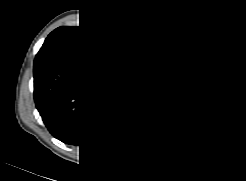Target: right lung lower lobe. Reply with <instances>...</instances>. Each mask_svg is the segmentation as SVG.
I'll use <instances>...</instances> for the list:
<instances>
[{"label": "right lung lower lobe", "mask_w": 246, "mask_h": 181, "mask_svg": "<svg viewBox=\"0 0 246 181\" xmlns=\"http://www.w3.org/2000/svg\"><path fill=\"white\" fill-rule=\"evenodd\" d=\"M102 66L61 55L34 67L36 107L50 133L63 143L96 145L106 131L108 112L127 96L125 81L107 79Z\"/></svg>", "instance_id": "1"}]
</instances>
